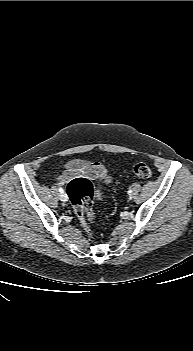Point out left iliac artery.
Listing matches in <instances>:
<instances>
[{
  "instance_id": "44dca946",
  "label": "left iliac artery",
  "mask_w": 193,
  "mask_h": 351,
  "mask_svg": "<svg viewBox=\"0 0 193 351\" xmlns=\"http://www.w3.org/2000/svg\"><path fill=\"white\" fill-rule=\"evenodd\" d=\"M131 193H132V189H129V190H128V194H131Z\"/></svg>"
}]
</instances>
